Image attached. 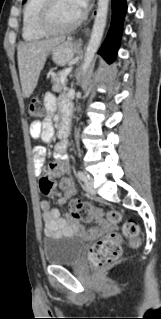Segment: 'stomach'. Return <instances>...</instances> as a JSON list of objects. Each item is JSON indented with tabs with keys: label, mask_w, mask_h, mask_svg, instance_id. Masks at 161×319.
<instances>
[{
	"label": "stomach",
	"mask_w": 161,
	"mask_h": 319,
	"mask_svg": "<svg viewBox=\"0 0 161 319\" xmlns=\"http://www.w3.org/2000/svg\"><path fill=\"white\" fill-rule=\"evenodd\" d=\"M75 53V46L72 41H66L56 45L52 49V59L57 65H64L69 62Z\"/></svg>",
	"instance_id": "1"
}]
</instances>
